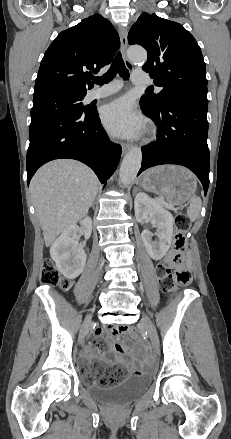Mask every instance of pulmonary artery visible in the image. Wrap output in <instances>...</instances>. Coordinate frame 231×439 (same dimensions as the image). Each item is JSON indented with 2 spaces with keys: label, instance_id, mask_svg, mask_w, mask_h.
Returning a JSON list of instances; mask_svg holds the SVG:
<instances>
[{
  "label": "pulmonary artery",
  "instance_id": "1",
  "mask_svg": "<svg viewBox=\"0 0 231 439\" xmlns=\"http://www.w3.org/2000/svg\"><path fill=\"white\" fill-rule=\"evenodd\" d=\"M132 82L136 85H151L152 84V80L149 77V75L146 72L139 70V69H137L133 72ZM121 86H122V83L120 81H114L108 85L101 87V88L93 89V90L88 92L87 99L89 101H91L94 99L106 97V96L118 91L121 88ZM156 90L160 91V88L156 87Z\"/></svg>",
  "mask_w": 231,
  "mask_h": 439
}]
</instances>
